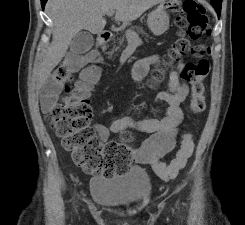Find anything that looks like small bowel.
Here are the masks:
<instances>
[{
	"instance_id": "c3829d8e",
	"label": "small bowel",
	"mask_w": 245,
	"mask_h": 225,
	"mask_svg": "<svg viewBox=\"0 0 245 225\" xmlns=\"http://www.w3.org/2000/svg\"><path fill=\"white\" fill-rule=\"evenodd\" d=\"M160 62L158 55H151L139 59L132 66L129 77L134 82L142 81L147 75L149 68ZM184 64L179 62L169 71L168 89L161 90L156 95L159 103L166 104L161 118H134V117H110L108 125L96 124L94 126L99 138L105 141L109 133H122L124 131H135L148 134V137L137 148L131 152V160L140 165H154L160 161L162 156L173 150L176 144V136L184 119L181 104L186 99L189 87L183 80L182 69ZM91 77L85 81L88 89L96 85L100 70L99 66L92 65L87 70ZM52 101L43 99L42 106L45 115L48 114ZM188 134H181L183 138Z\"/></svg>"
}]
</instances>
